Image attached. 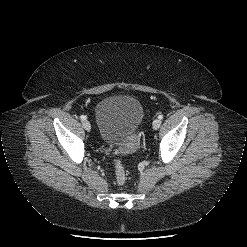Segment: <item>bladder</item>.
Instances as JSON below:
<instances>
[{
    "label": "bladder",
    "instance_id": "obj_1",
    "mask_svg": "<svg viewBox=\"0 0 247 247\" xmlns=\"http://www.w3.org/2000/svg\"><path fill=\"white\" fill-rule=\"evenodd\" d=\"M99 136L104 144L121 153H131L137 146V131L144 117L141 102L130 95H113L96 107Z\"/></svg>",
    "mask_w": 247,
    "mask_h": 247
}]
</instances>
